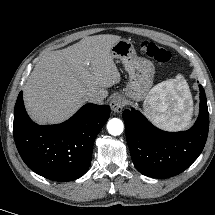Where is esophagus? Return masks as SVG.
<instances>
[{"instance_id": "obj_1", "label": "esophagus", "mask_w": 215, "mask_h": 215, "mask_svg": "<svg viewBox=\"0 0 215 215\" xmlns=\"http://www.w3.org/2000/svg\"><path fill=\"white\" fill-rule=\"evenodd\" d=\"M125 106V101L121 96H114L110 102V108L114 113H120Z\"/></svg>"}]
</instances>
